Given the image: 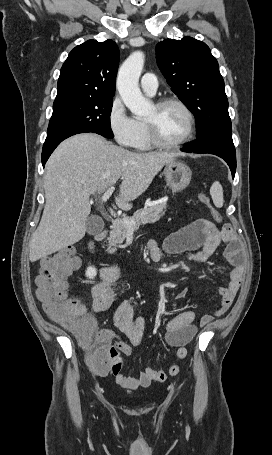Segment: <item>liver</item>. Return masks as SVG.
<instances>
[{"label": "liver", "instance_id": "1", "mask_svg": "<svg viewBox=\"0 0 272 455\" xmlns=\"http://www.w3.org/2000/svg\"><path fill=\"white\" fill-rule=\"evenodd\" d=\"M178 155L131 152L91 133L78 134L62 142L46 163V202L30 242V261L45 258L85 236L91 194L104 192L121 178L115 201L119 208L130 210L131 202Z\"/></svg>", "mask_w": 272, "mask_h": 455}]
</instances>
